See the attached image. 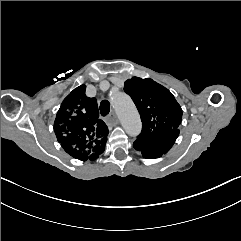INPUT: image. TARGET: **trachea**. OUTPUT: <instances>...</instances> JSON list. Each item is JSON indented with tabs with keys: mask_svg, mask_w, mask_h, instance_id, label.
Wrapping results in <instances>:
<instances>
[{
	"mask_svg": "<svg viewBox=\"0 0 241 241\" xmlns=\"http://www.w3.org/2000/svg\"><path fill=\"white\" fill-rule=\"evenodd\" d=\"M100 112L102 116H106L110 112V103L107 100H103L100 103Z\"/></svg>",
	"mask_w": 241,
	"mask_h": 241,
	"instance_id": "1",
	"label": "trachea"
}]
</instances>
